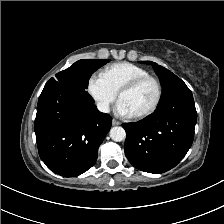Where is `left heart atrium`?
Wrapping results in <instances>:
<instances>
[{
  "mask_svg": "<svg viewBox=\"0 0 224 224\" xmlns=\"http://www.w3.org/2000/svg\"><path fill=\"white\" fill-rule=\"evenodd\" d=\"M116 112L123 117H131L132 114L123 102L119 100L116 106Z\"/></svg>",
  "mask_w": 224,
  "mask_h": 224,
  "instance_id": "left-heart-atrium-1",
  "label": "left heart atrium"
}]
</instances>
